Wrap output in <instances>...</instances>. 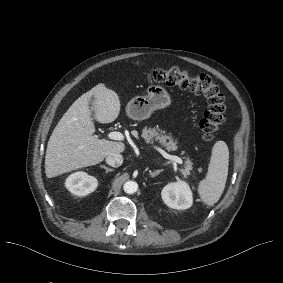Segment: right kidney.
Returning <instances> with one entry per match:
<instances>
[{
  "instance_id": "right-kidney-1",
  "label": "right kidney",
  "mask_w": 283,
  "mask_h": 283,
  "mask_svg": "<svg viewBox=\"0 0 283 283\" xmlns=\"http://www.w3.org/2000/svg\"><path fill=\"white\" fill-rule=\"evenodd\" d=\"M65 186L74 195L86 196L97 188L98 181L85 172H75L67 177Z\"/></svg>"
}]
</instances>
